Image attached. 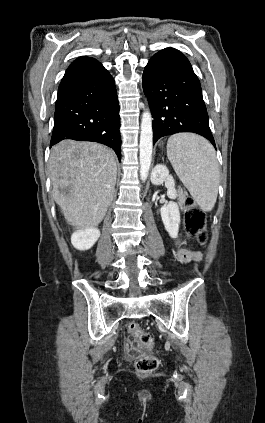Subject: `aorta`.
I'll return each instance as SVG.
<instances>
[{
	"mask_svg": "<svg viewBox=\"0 0 265 423\" xmlns=\"http://www.w3.org/2000/svg\"><path fill=\"white\" fill-rule=\"evenodd\" d=\"M139 148L140 177L145 181L149 174L153 149L152 116L149 109L142 114Z\"/></svg>",
	"mask_w": 265,
	"mask_h": 423,
	"instance_id": "1",
	"label": "aorta"
}]
</instances>
